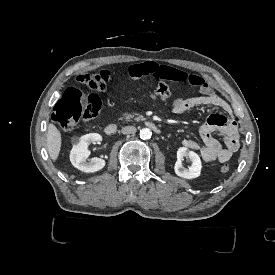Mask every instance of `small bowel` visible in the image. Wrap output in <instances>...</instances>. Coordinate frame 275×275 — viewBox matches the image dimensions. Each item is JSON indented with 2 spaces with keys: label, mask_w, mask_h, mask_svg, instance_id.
I'll list each match as a JSON object with an SVG mask.
<instances>
[{
  "label": "small bowel",
  "mask_w": 275,
  "mask_h": 275,
  "mask_svg": "<svg viewBox=\"0 0 275 275\" xmlns=\"http://www.w3.org/2000/svg\"><path fill=\"white\" fill-rule=\"evenodd\" d=\"M132 76L140 78L144 76L160 79L180 80L181 75L184 79L189 77L187 72L169 67L159 66L153 62H146L132 67ZM183 73V74H182ZM100 78L107 85H114L117 82V75L109 69H104L100 73ZM191 78L197 83L202 81L199 73H193ZM200 95L188 98H177L172 102L171 111L176 115H181L200 106H215L223 110L228 116V124L226 126H218L214 122L209 121L202 124L199 128V135L202 142L193 139H184L182 144L184 147L197 151L201 158L206 162L225 163L231 159L233 154L238 150L240 145V135L238 124L234 117L231 105L222 97L217 95L210 83L204 82L199 85ZM218 131L222 138L223 144L212 137V133Z\"/></svg>",
  "instance_id": "obj_1"
}]
</instances>
